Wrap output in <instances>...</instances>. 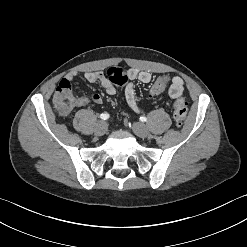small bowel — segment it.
<instances>
[{"label": "small bowel", "mask_w": 247, "mask_h": 247, "mask_svg": "<svg viewBox=\"0 0 247 247\" xmlns=\"http://www.w3.org/2000/svg\"><path fill=\"white\" fill-rule=\"evenodd\" d=\"M76 75L77 73L75 72L68 74L65 78H63L60 81L59 84L65 83L71 86V82L76 77ZM128 76L130 79V83L127 85L125 89L126 100L128 105L131 107L133 111L140 112L141 107L136 97V92L134 89L133 82L138 81L145 84L149 83L152 79V75L147 71H139L137 69H131L129 70ZM84 79L89 83H99L108 95H114L116 93L115 85L108 80V78L104 73L100 71L86 72L84 74ZM183 91H184L183 80L178 76L173 77L171 79V85L168 90L169 97L171 99H177L178 97L182 96ZM91 101L95 103H101L102 97L98 93L93 94L90 98L86 96L77 97L74 99V104L72 108L86 106Z\"/></svg>", "instance_id": "obj_1"}]
</instances>
